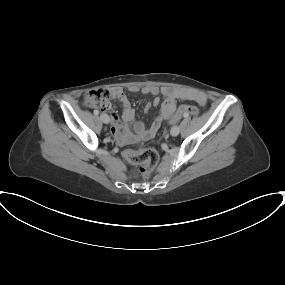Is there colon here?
I'll return each instance as SVG.
<instances>
[{
	"label": "colon",
	"instance_id": "1",
	"mask_svg": "<svg viewBox=\"0 0 285 285\" xmlns=\"http://www.w3.org/2000/svg\"><path fill=\"white\" fill-rule=\"evenodd\" d=\"M111 92L106 89L90 90L83 97V104L88 108L109 109L112 106ZM198 108L195 106L184 105L179 108L173 116L172 121H177L181 116L197 115ZM126 160L137 165L138 167L132 171L133 177H148L156 166L159 155L156 149L152 147L140 149H128L123 153Z\"/></svg>",
	"mask_w": 285,
	"mask_h": 285
}]
</instances>
